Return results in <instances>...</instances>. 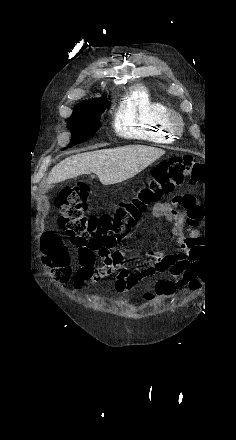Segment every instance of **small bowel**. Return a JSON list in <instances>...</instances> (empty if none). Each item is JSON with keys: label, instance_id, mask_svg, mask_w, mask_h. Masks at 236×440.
I'll return each instance as SVG.
<instances>
[{"label": "small bowel", "instance_id": "small-bowel-1", "mask_svg": "<svg viewBox=\"0 0 236 440\" xmlns=\"http://www.w3.org/2000/svg\"><path fill=\"white\" fill-rule=\"evenodd\" d=\"M155 217L165 218L172 223V234L177 250L173 252H152L146 264L139 265L132 271L124 264V254L121 250L111 251L101 248L90 249L78 246L77 254L80 268L74 279V289L77 290L86 282L97 283L111 274H116L115 290L125 294L135 290L147 277L154 274H171L177 286H186L197 283L200 286L202 263L201 256L196 250L198 234L193 230H186V221L197 222L203 210L197 205L196 197L191 194L176 195L171 202H157L152 207ZM61 258L68 263L69 252L64 246L59 249ZM96 255L102 259V264L95 266ZM147 299L153 295L147 293Z\"/></svg>", "mask_w": 236, "mask_h": 440}]
</instances>
